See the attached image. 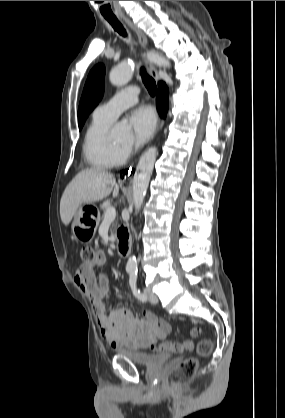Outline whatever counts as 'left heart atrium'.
I'll use <instances>...</instances> for the list:
<instances>
[{"mask_svg":"<svg viewBox=\"0 0 285 418\" xmlns=\"http://www.w3.org/2000/svg\"><path fill=\"white\" fill-rule=\"evenodd\" d=\"M128 123L134 132L136 142L139 144L145 143L156 129V113L148 106L135 108L128 115Z\"/></svg>","mask_w":285,"mask_h":418,"instance_id":"left-heart-atrium-1","label":"left heart atrium"}]
</instances>
